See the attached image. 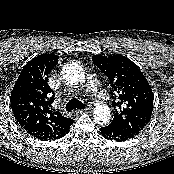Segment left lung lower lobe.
Returning <instances> with one entry per match:
<instances>
[{"instance_id": "obj_1", "label": "left lung lower lobe", "mask_w": 174, "mask_h": 174, "mask_svg": "<svg viewBox=\"0 0 174 174\" xmlns=\"http://www.w3.org/2000/svg\"><path fill=\"white\" fill-rule=\"evenodd\" d=\"M100 132L104 138L119 142L134 138L137 135L110 125L101 127Z\"/></svg>"}]
</instances>
